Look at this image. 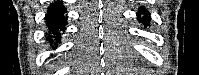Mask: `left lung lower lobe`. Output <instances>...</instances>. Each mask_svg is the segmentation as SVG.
<instances>
[{
    "mask_svg": "<svg viewBox=\"0 0 199 75\" xmlns=\"http://www.w3.org/2000/svg\"><path fill=\"white\" fill-rule=\"evenodd\" d=\"M141 14H144V16H143V17H140ZM137 16H138V20H139L140 22H144V25H145V26L149 25V23H150V13H149V11H148L146 8L140 7V8L138 9V14H137Z\"/></svg>",
    "mask_w": 199,
    "mask_h": 75,
    "instance_id": "1",
    "label": "left lung lower lobe"
}]
</instances>
